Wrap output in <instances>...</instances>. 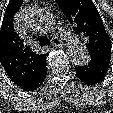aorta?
<instances>
[{
	"label": "aorta",
	"instance_id": "aorta-1",
	"mask_svg": "<svg viewBox=\"0 0 113 113\" xmlns=\"http://www.w3.org/2000/svg\"><path fill=\"white\" fill-rule=\"evenodd\" d=\"M40 12L42 13L45 20H47V23L51 25L52 24L51 16L44 11H40ZM67 53L70 57L71 62L74 65L83 66L90 61L89 52L86 46L81 42H79V40H77L75 37L71 39L67 47Z\"/></svg>",
	"mask_w": 113,
	"mask_h": 113
}]
</instances>
